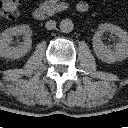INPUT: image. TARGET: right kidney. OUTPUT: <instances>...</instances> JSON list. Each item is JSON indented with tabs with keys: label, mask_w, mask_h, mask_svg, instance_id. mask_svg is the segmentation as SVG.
I'll use <instances>...</instances> for the list:
<instances>
[{
	"label": "right kidney",
	"mask_w": 128,
	"mask_h": 128,
	"mask_svg": "<svg viewBox=\"0 0 128 128\" xmlns=\"http://www.w3.org/2000/svg\"><path fill=\"white\" fill-rule=\"evenodd\" d=\"M23 36V41L12 45L14 36ZM32 30L28 25H19L6 29L0 35V56L9 59H19L30 51L32 46Z\"/></svg>",
	"instance_id": "obj_1"
}]
</instances>
